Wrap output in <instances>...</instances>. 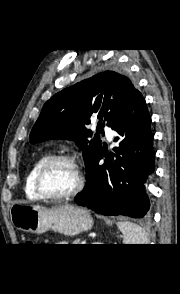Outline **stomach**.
Returning a JSON list of instances; mask_svg holds the SVG:
<instances>
[{
    "label": "stomach",
    "mask_w": 180,
    "mask_h": 294,
    "mask_svg": "<svg viewBox=\"0 0 180 294\" xmlns=\"http://www.w3.org/2000/svg\"><path fill=\"white\" fill-rule=\"evenodd\" d=\"M13 225L22 231L42 234L48 230L74 236L91 229L93 219L89 211L73 205L46 208L40 205L15 204L10 211Z\"/></svg>",
    "instance_id": "obj_1"
}]
</instances>
